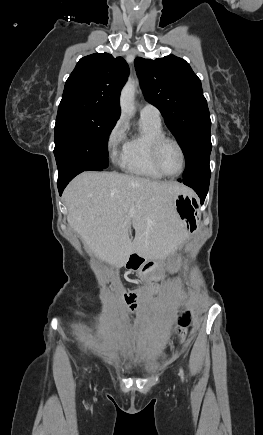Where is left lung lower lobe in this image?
I'll return each mask as SVG.
<instances>
[{"label": "left lung lower lobe", "mask_w": 263, "mask_h": 435, "mask_svg": "<svg viewBox=\"0 0 263 435\" xmlns=\"http://www.w3.org/2000/svg\"><path fill=\"white\" fill-rule=\"evenodd\" d=\"M210 174V167L207 165L178 181L194 189L200 197L201 204H203L209 188Z\"/></svg>", "instance_id": "0a47b994"}]
</instances>
